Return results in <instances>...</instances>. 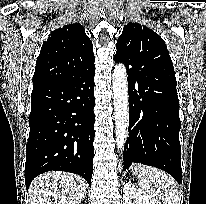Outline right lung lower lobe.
I'll return each mask as SVG.
<instances>
[{
  "label": "right lung lower lobe",
  "mask_w": 206,
  "mask_h": 204,
  "mask_svg": "<svg viewBox=\"0 0 206 204\" xmlns=\"http://www.w3.org/2000/svg\"><path fill=\"white\" fill-rule=\"evenodd\" d=\"M94 63L85 70L34 86L26 146L25 184L43 172L93 173Z\"/></svg>",
  "instance_id": "98d812e1"
}]
</instances>
